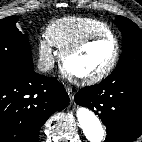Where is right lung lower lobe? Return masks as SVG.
<instances>
[{
  "label": "right lung lower lobe",
  "instance_id": "1",
  "mask_svg": "<svg viewBox=\"0 0 142 142\" xmlns=\"http://www.w3.org/2000/svg\"><path fill=\"white\" fill-rule=\"evenodd\" d=\"M68 103L54 77L34 70L0 73V142H38L41 126Z\"/></svg>",
  "mask_w": 142,
  "mask_h": 142
}]
</instances>
